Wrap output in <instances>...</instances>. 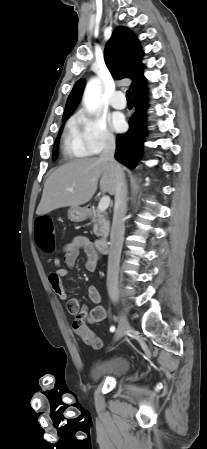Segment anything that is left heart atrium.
<instances>
[{
  "mask_svg": "<svg viewBox=\"0 0 207 449\" xmlns=\"http://www.w3.org/2000/svg\"><path fill=\"white\" fill-rule=\"evenodd\" d=\"M111 125L115 131L121 132L125 129L126 122L122 115L114 114L111 118Z\"/></svg>",
  "mask_w": 207,
  "mask_h": 449,
  "instance_id": "39dd6f15",
  "label": "left heart atrium"
}]
</instances>
